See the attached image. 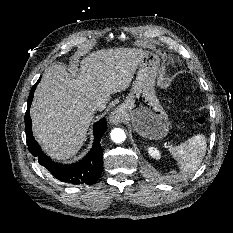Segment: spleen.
<instances>
[{"label": "spleen", "instance_id": "obj_1", "mask_svg": "<svg viewBox=\"0 0 233 233\" xmlns=\"http://www.w3.org/2000/svg\"><path fill=\"white\" fill-rule=\"evenodd\" d=\"M169 152L177 161L182 176L188 177L196 172L205 156V136L197 134L178 146L170 147Z\"/></svg>", "mask_w": 233, "mask_h": 233}]
</instances>
